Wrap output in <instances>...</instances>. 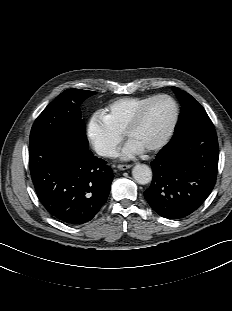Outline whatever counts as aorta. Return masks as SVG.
<instances>
[{"label":"aorta","instance_id":"1","mask_svg":"<svg viewBox=\"0 0 232 311\" xmlns=\"http://www.w3.org/2000/svg\"><path fill=\"white\" fill-rule=\"evenodd\" d=\"M132 176L137 183L145 185L151 182L152 171L149 166L145 164H138L133 167Z\"/></svg>","mask_w":232,"mask_h":311}]
</instances>
